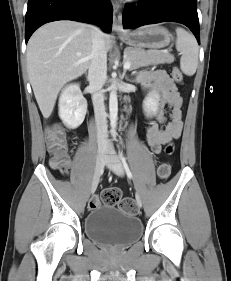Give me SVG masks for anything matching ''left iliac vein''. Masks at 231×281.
I'll return each mask as SVG.
<instances>
[{"instance_id":"4c4485c4","label":"left iliac vein","mask_w":231,"mask_h":281,"mask_svg":"<svg viewBox=\"0 0 231 281\" xmlns=\"http://www.w3.org/2000/svg\"><path fill=\"white\" fill-rule=\"evenodd\" d=\"M108 149L111 153V155L106 157V164L108 168L112 170L116 175L123 176L125 171L119 157L117 156L111 145H109ZM136 201L137 205L139 207H142V200L139 194L136 195Z\"/></svg>"}]
</instances>
